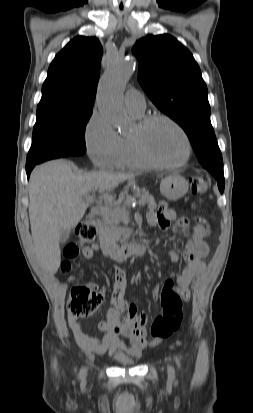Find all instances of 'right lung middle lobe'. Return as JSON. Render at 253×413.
<instances>
[{
    "label": "right lung middle lobe",
    "instance_id": "1",
    "mask_svg": "<svg viewBox=\"0 0 253 413\" xmlns=\"http://www.w3.org/2000/svg\"><path fill=\"white\" fill-rule=\"evenodd\" d=\"M92 110L50 111L37 114L27 165L86 152L85 127Z\"/></svg>",
    "mask_w": 253,
    "mask_h": 413
}]
</instances>
